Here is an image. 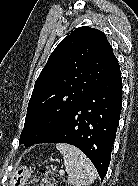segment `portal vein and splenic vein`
<instances>
[{
    "label": "portal vein and splenic vein",
    "mask_w": 138,
    "mask_h": 186,
    "mask_svg": "<svg viewBox=\"0 0 138 186\" xmlns=\"http://www.w3.org/2000/svg\"><path fill=\"white\" fill-rule=\"evenodd\" d=\"M59 173H60V175H63L64 174V170H60Z\"/></svg>",
    "instance_id": "portal-vein-and-splenic-vein-1"
}]
</instances>
